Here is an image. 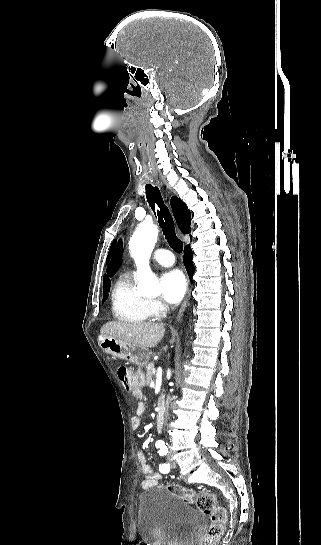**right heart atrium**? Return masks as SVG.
<instances>
[{"label": "right heart atrium", "mask_w": 321, "mask_h": 545, "mask_svg": "<svg viewBox=\"0 0 321 545\" xmlns=\"http://www.w3.org/2000/svg\"><path fill=\"white\" fill-rule=\"evenodd\" d=\"M147 306L154 318H162L166 314V309L160 302L147 303Z\"/></svg>", "instance_id": "1"}]
</instances>
